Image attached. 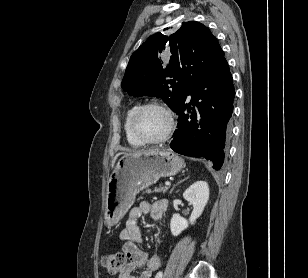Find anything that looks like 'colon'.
<instances>
[{
  "mask_svg": "<svg viewBox=\"0 0 308 278\" xmlns=\"http://www.w3.org/2000/svg\"><path fill=\"white\" fill-rule=\"evenodd\" d=\"M127 256L124 253H109L104 256L103 264L111 274L120 273L126 265Z\"/></svg>",
  "mask_w": 308,
  "mask_h": 278,
  "instance_id": "1",
  "label": "colon"
}]
</instances>
